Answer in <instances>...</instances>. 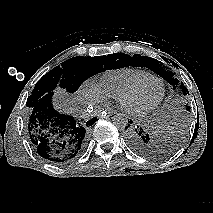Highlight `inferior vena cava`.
Wrapping results in <instances>:
<instances>
[{
    "instance_id": "obj_1",
    "label": "inferior vena cava",
    "mask_w": 213,
    "mask_h": 213,
    "mask_svg": "<svg viewBox=\"0 0 213 213\" xmlns=\"http://www.w3.org/2000/svg\"><path fill=\"white\" fill-rule=\"evenodd\" d=\"M84 117H85V118H88V117H89V114H88V113H85V114H84Z\"/></svg>"
}]
</instances>
